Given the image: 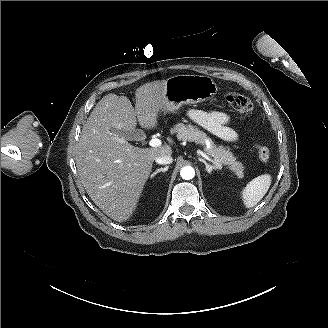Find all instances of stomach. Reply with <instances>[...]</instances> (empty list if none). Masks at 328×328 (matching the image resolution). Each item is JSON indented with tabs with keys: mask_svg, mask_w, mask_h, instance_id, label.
Returning a JSON list of instances; mask_svg holds the SVG:
<instances>
[{
	"mask_svg": "<svg viewBox=\"0 0 328 328\" xmlns=\"http://www.w3.org/2000/svg\"><path fill=\"white\" fill-rule=\"evenodd\" d=\"M162 111H173L183 104H198L214 98L218 86L209 76L178 75L169 78Z\"/></svg>",
	"mask_w": 328,
	"mask_h": 328,
	"instance_id": "stomach-1",
	"label": "stomach"
}]
</instances>
